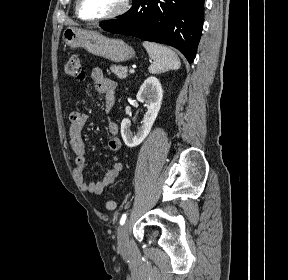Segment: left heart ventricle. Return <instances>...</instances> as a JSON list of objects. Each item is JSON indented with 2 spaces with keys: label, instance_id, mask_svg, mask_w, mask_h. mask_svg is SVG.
Segmentation results:
<instances>
[{
  "label": "left heart ventricle",
  "instance_id": "left-heart-ventricle-1",
  "mask_svg": "<svg viewBox=\"0 0 288 280\" xmlns=\"http://www.w3.org/2000/svg\"><path fill=\"white\" fill-rule=\"evenodd\" d=\"M123 0H81L80 12L86 18H97L117 10Z\"/></svg>",
  "mask_w": 288,
  "mask_h": 280
}]
</instances>
